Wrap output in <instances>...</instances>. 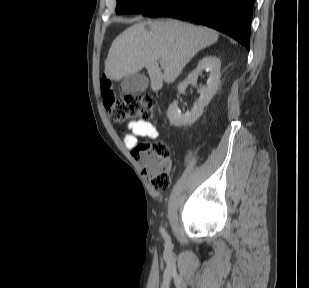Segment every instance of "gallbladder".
<instances>
[{"mask_svg":"<svg viewBox=\"0 0 309 288\" xmlns=\"http://www.w3.org/2000/svg\"><path fill=\"white\" fill-rule=\"evenodd\" d=\"M148 84V78L144 74L134 73L123 78L121 89L124 93L144 92Z\"/></svg>","mask_w":309,"mask_h":288,"instance_id":"gallbladder-1","label":"gallbladder"}]
</instances>
